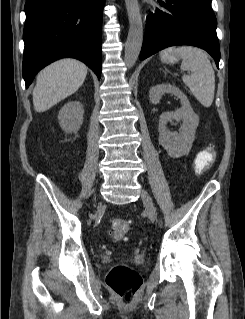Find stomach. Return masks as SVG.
<instances>
[{
    "label": "stomach",
    "instance_id": "0dacf381",
    "mask_svg": "<svg viewBox=\"0 0 245 319\" xmlns=\"http://www.w3.org/2000/svg\"><path fill=\"white\" fill-rule=\"evenodd\" d=\"M160 57H161V60L166 63H175L178 61V56L177 54L174 53V51H172V49L163 51L160 54Z\"/></svg>",
    "mask_w": 245,
    "mask_h": 319
}]
</instances>
